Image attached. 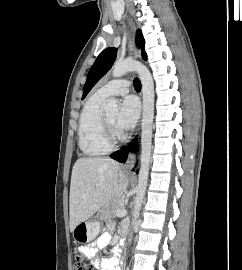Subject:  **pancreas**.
Returning a JSON list of instances; mask_svg holds the SVG:
<instances>
[{"mask_svg": "<svg viewBox=\"0 0 242 270\" xmlns=\"http://www.w3.org/2000/svg\"><path fill=\"white\" fill-rule=\"evenodd\" d=\"M124 204L125 203H124L123 198L106 204L103 207V215H104L103 218L106 220V219H109V218L115 216L116 215V210L118 208L124 207Z\"/></svg>", "mask_w": 242, "mask_h": 270, "instance_id": "1", "label": "pancreas"}]
</instances>
